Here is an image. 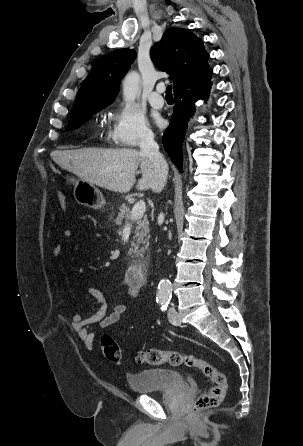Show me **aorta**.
Masks as SVG:
<instances>
[{
	"instance_id": "aorta-1",
	"label": "aorta",
	"mask_w": 303,
	"mask_h": 446,
	"mask_svg": "<svg viewBox=\"0 0 303 446\" xmlns=\"http://www.w3.org/2000/svg\"><path fill=\"white\" fill-rule=\"evenodd\" d=\"M140 76L133 71L126 75L123 81V98L129 103L133 102L140 94ZM172 294V284L167 279H161L157 288V299L159 301H168Z\"/></svg>"
}]
</instances>
